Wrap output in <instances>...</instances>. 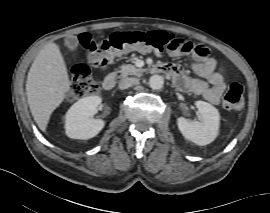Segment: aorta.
Here are the masks:
<instances>
[{"mask_svg": "<svg viewBox=\"0 0 270 213\" xmlns=\"http://www.w3.org/2000/svg\"><path fill=\"white\" fill-rule=\"evenodd\" d=\"M164 85V78L161 75H152L149 79V86L153 90H160Z\"/></svg>", "mask_w": 270, "mask_h": 213, "instance_id": "obj_1", "label": "aorta"}]
</instances>
